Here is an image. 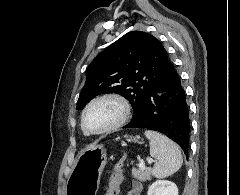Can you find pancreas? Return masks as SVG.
I'll return each instance as SVG.
<instances>
[{"label": "pancreas", "mask_w": 240, "mask_h": 195, "mask_svg": "<svg viewBox=\"0 0 240 195\" xmlns=\"http://www.w3.org/2000/svg\"><path fill=\"white\" fill-rule=\"evenodd\" d=\"M133 177L139 179V181H147V179H151V167H144V169H132Z\"/></svg>", "instance_id": "cf45deb5"}]
</instances>
